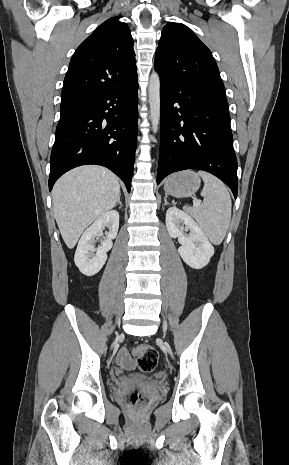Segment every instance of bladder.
<instances>
[{
    "mask_svg": "<svg viewBox=\"0 0 289 465\" xmlns=\"http://www.w3.org/2000/svg\"><path fill=\"white\" fill-rule=\"evenodd\" d=\"M134 380L140 383H143V384H151V385L157 384V382L153 378L148 377V376L138 375L134 377Z\"/></svg>",
    "mask_w": 289,
    "mask_h": 465,
    "instance_id": "bladder-1",
    "label": "bladder"
}]
</instances>
